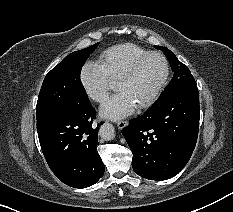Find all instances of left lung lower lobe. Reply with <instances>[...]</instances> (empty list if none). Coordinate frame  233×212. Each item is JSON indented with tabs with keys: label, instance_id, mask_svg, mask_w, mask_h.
<instances>
[{
	"label": "left lung lower lobe",
	"instance_id": "left-lung-lower-lobe-1",
	"mask_svg": "<svg viewBox=\"0 0 233 212\" xmlns=\"http://www.w3.org/2000/svg\"><path fill=\"white\" fill-rule=\"evenodd\" d=\"M198 90L158 98L146 113L122 130L133 152L135 173L165 180L179 173L195 148L199 129Z\"/></svg>",
	"mask_w": 233,
	"mask_h": 212
}]
</instances>
